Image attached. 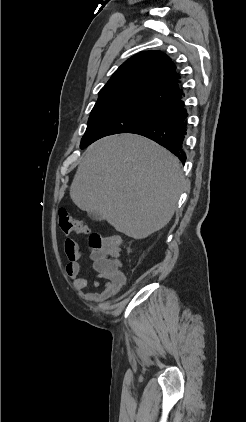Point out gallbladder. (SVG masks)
<instances>
[{"label": "gallbladder", "mask_w": 246, "mask_h": 422, "mask_svg": "<svg viewBox=\"0 0 246 422\" xmlns=\"http://www.w3.org/2000/svg\"><path fill=\"white\" fill-rule=\"evenodd\" d=\"M89 215L94 220H101V217L96 212H89Z\"/></svg>", "instance_id": "gallbladder-1"}]
</instances>
